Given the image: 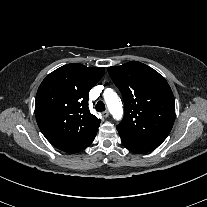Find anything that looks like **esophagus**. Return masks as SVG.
Wrapping results in <instances>:
<instances>
[{
    "instance_id": "obj_1",
    "label": "esophagus",
    "mask_w": 207,
    "mask_h": 207,
    "mask_svg": "<svg viewBox=\"0 0 207 207\" xmlns=\"http://www.w3.org/2000/svg\"><path fill=\"white\" fill-rule=\"evenodd\" d=\"M103 116H104L105 118H107V117L109 116V112H108V111L103 112Z\"/></svg>"
}]
</instances>
